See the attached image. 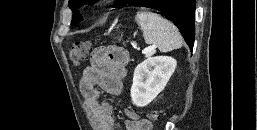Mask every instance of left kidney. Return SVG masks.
Wrapping results in <instances>:
<instances>
[{"label": "left kidney", "instance_id": "5707ae66", "mask_svg": "<svg viewBox=\"0 0 257 130\" xmlns=\"http://www.w3.org/2000/svg\"><path fill=\"white\" fill-rule=\"evenodd\" d=\"M177 62L169 56L150 57L134 71L131 98L137 107L147 106L165 88Z\"/></svg>", "mask_w": 257, "mask_h": 130}]
</instances>
